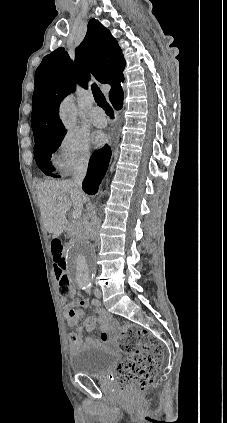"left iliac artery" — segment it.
<instances>
[{
	"mask_svg": "<svg viewBox=\"0 0 227 423\" xmlns=\"http://www.w3.org/2000/svg\"><path fill=\"white\" fill-rule=\"evenodd\" d=\"M90 290H91V283L85 284V291L90 294Z\"/></svg>",
	"mask_w": 227,
	"mask_h": 423,
	"instance_id": "1",
	"label": "left iliac artery"
}]
</instances>
